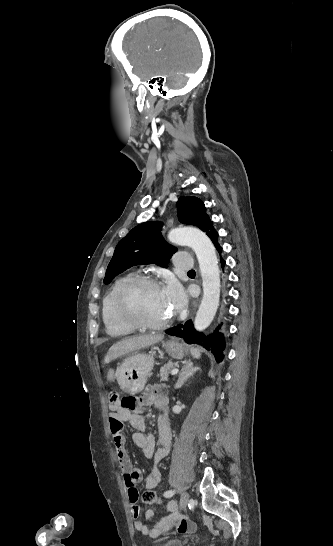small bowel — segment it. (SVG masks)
<instances>
[{"mask_svg":"<svg viewBox=\"0 0 333 546\" xmlns=\"http://www.w3.org/2000/svg\"><path fill=\"white\" fill-rule=\"evenodd\" d=\"M107 380L116 379V371L110 370L107 373ZM155 405L159 410L158 438L148 430L143 416L145 407ZM109 429L113 439L118 466L122 472L124 486L128 492V499L131 503V513L135 518L134 527L141 533L157 537L171 529L178 519V510L175 502L171 501L164 507L169 514L165 515L153 527H148L144 522L137 519L140 515L141 507L138 503L137 484L142 480V473L135 468L127 454L125 445L126 438L123 432V425L128 423L135 432L132 435L134 443L143 451L144 456L153 459L154 466L146 477L145 485L149 489L156 488L161 482V471L158 463L169 453L171 448V431L169 427L168 398L162 392L160 385L148 386L144 393L139 397L134 408L116 407L108 418ZM153 511L148 509L145 513L147 520H152ZM189 528L186 520L178 525L179 532H185Z\"/></svg>","mask_w":333,"mask_h":546,"instance_id":"obj_1","label":"small bowel"}]
</instances>
